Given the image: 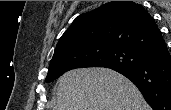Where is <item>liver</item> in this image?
<instances>
[{
  "mask_svg": "<svg viewBox=\"0 0 171 110\" xmlns=\"http://www.w3.org/2000/svg\"><path fill=\"white\" fill-rule=\"evenodd\" d=\"M53 110H151L138 88L107 68H81L58 79Z\"/></svg>",
  "mask_w": 171,
  "mask_h": 110,
  "instance_id": "liver-1",
  "label": "liver"
}]
</instances>
